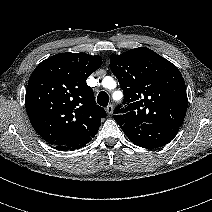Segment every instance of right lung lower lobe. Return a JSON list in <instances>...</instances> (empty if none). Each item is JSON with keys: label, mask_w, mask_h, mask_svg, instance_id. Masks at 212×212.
Instances as JSON below:
<instances>
[{"label": "right lung lower lobe", "mask_w": 212, "mask_h": 212, "mask_svg": "<svg viewBox=\"0 0 212 212\" xmlns=\"http://www.w3.org/2000/svg\"><path fill=\"white\" fill-rule=\"evenodd\" d=\"M87 143H72V144L59 145V146H54V147L58 150L68 151V150H76L81 147H84Z\"/></svg>", "instance_id": "obj_1"}]
</instances>
